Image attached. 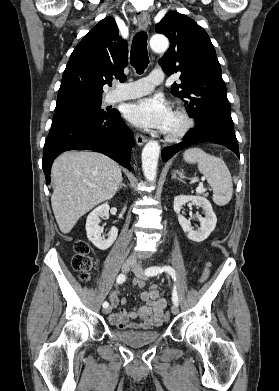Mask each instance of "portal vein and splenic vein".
Instances as JSON below:
<instances>
[{
    "instance_id": "1",
    "label": "portal vein and splenic vein",
    "mask_w": 279,
    "mask_h": 391,
    "mask_svg": "<svg viewBox=\"0 0 279 391\" xmlns=\"http://www.w3.org/2000/svg\"><path fill=\"white\" fill-rule=\"evenodd\" d=\"M204 190H205V189H204L202 183H200L199 186L196 188V192H197V193H201V192H203Z\"/></svg>"
}]
</instances>
